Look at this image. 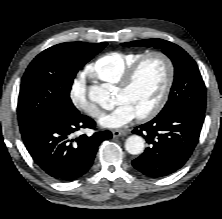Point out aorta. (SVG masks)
Instances as JSON below:
<instances>
[{
	"label": "aorta",
	"mask_w": 222,
	"mask_h": 219,
	"mask_svg": "<svg viewBox=\"0 0 222 219\" xmlns=\"http://www.w3.org/2000/svg\"><path fill=\"white\" fill-rule=\"evenodd\" d=\"M88 97L92 102L105 108L110 101V90L105 85H94L90 87ZM144 148L145 141L138 135L128 137L125 142L126 151L133 155L141 154Z\"/></svg>",
	"instance_id": "1"
}]
</instances>
